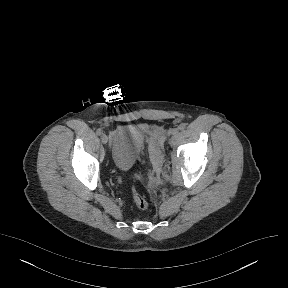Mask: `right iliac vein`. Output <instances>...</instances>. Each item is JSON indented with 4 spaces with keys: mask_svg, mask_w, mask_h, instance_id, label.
<instances>
[{
    "mask_svg": "<svg viewBox=\"0 0 288 288\" xmlns=\"http://www.w3.org/2000/svg\"><path fill=\"white\" fill-rule=\"evenodd\" d=\"M107 141H108V137H107L105 134H102V135H101V142H102L103 144H106Z\"/></svg>",
    "mask_w": 288,
    "mask_h": 288,
    "instance_id": "obj_1",
    "label": "right iliac vein"
}]
</instances>
